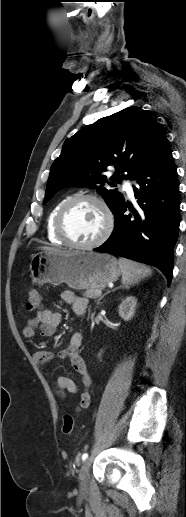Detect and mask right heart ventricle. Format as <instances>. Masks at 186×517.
<instances>
[{
	"label": "right heart ventricle",
	"instance_id": "right-heart-ventricle-1",
	"mask_svg": "<svg viewBox=\"0 0 186 517\" xmlns=\"http://www.w3.org/2000/svg\"><path fill=\"white\" fill-rule=\"evenodd\" d=\"M70 199L69 196H66L62 199H60L48 212L47 218H46V235L47 239L52 243L56 245H62L65 244L61 238L58 237L56 230H55V220L56 216L60 210V208L63 206V204Z\"/></svg>",
	"mask_w": 186,
	"mask_h": 517
}]
</instances>
